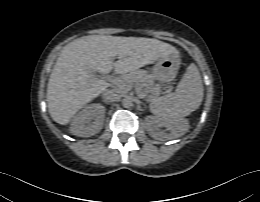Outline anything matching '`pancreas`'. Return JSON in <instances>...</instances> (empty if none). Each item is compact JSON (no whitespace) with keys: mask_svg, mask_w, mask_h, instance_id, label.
<instances>
[{"mask_svg":"<svg viewBox=\"0 0 260 202\" xmlns=\"http://www.w3.org/2000/svg\"><path fill=\"white\" fill-rule=\"evenodd\" d=\"M114 87L121 93H126L132 88L144 87L141 91L149 99H153L159 95L160 88L153 84V76L146 70H135L131 73L117 79Z\"/></svg>","mask_w":260,"mask_h":202,"instance_id":"cf45deb5","label":"pancreas"}]
</instances>
